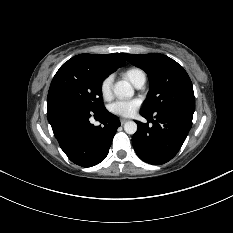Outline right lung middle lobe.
I'll return each instance as SVG.
<instances>
[{
	"label": "right lung middle lobe",
	"mask_w": 233,
	"mask_h": 233,
	"mask_svg": "<svg viewBox=\"0 0 233 233\" xmlns=\"http://www.w3.org/2000/svg\"><path fill=\"white\" fill-rule=\"evenodd\" d=\"M107 76L83 65L63 64L51 82L47 105L70 104L95 112L103 110L101 84Z\"/></svg>",
	"instance_id": "dd1d6c3e"
}]
</instances>
